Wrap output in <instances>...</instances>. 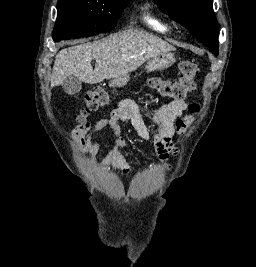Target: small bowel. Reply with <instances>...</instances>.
<instances>
[{
  "mask_svg": "<svg viewBox=\"0 0 256 267\" xmlns=\"http://www.w3.org/2000/svg\"><path fill=\"white\" fill-rule=\"evenodd\" d=\"M187 108L186 100H173L164 104L157 110L139 107L131 99H122L117 106L105 117L100 118L94 125L83 123L73 133L76 143L84 152L90 154L87 162L95 166L94 156L98 154L103 144L109 142L111 148L106 157L101 161V169H112L127 176L131 173L130 165L124 155L126 139L121 134L120 121H132L139 136L154 145L159 158L167 163L175 154L173 138L177 131L175 118H180ZM143 116L149 119L156 127L153 133L143 120ZM108 129L107 138L93 140V137Z\"/></svg>",
  "mask_w": 256,
  "mask_h": 267,
  "instance_id": "1",
  "label": "small bowel"
}]
</instances>
